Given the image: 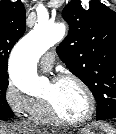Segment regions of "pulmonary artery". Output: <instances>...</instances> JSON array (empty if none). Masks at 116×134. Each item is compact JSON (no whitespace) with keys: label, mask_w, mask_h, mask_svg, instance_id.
<instances>
[{"label":"pulmonary artery","mask_w":116,"mask_h":134,"mask_svg":"<svg viewBox=\"0 0 116 134\" xmlns=\"http://www.w3.org/2000/svg\"><path fill=\"white\" fill-rule=\"evenodd\" d=\"M54 53L53 52H49L46 53L42 58H41V67L44 70H49L53 63H54Z\"/></svg>","instance_id":"1"}]
</instances>
